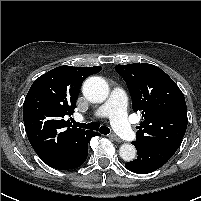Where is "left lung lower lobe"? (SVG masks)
Here are the masks:
<instances>
[{"label":"left lung lower lobe","mask_w":201,"mask_h":201,"mask_svg":"<svg viewBox=\"0 0 201 201\" xmlns=\"http://www.w3.org/2000/svg\"><path fill=\"white\" fill-rule=\"evenodd\" d=\"M137 149L136 160L127 162L125 167L138 174L151 173L162 167L177 151L178 148L172 146L142 147L134 145Z\"/></svg>","instance_id":"obj_1"}]
</instances>
